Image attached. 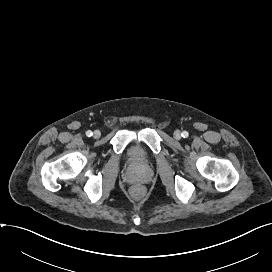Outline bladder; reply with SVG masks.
Here are the masks:
<instances>
[{
	"mask_svg": "<svg viewBox=\"0 0 272 272\" xmlns=\"http://www.w3.org/2000/svg\"><path fill=\"white\" fill-rule=\"evenodd\" d=\"M130 158L132 160V162L140 164L143 162V157L142 155L139 153L138 150L134 149L131 154H130Z\"/></svg>",
	"mask_w": 272,
	"mask_h": 272,
	"instance_id": "1",
	"label": "bladder"
}]
</instances>
